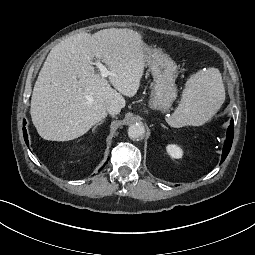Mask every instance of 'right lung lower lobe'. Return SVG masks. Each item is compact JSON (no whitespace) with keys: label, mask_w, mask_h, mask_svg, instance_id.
Wrapping results in <instances>:
<instances>
[{"label":"right lung lower lobe","mask_w":255,"mask_h":255,"mask_svg":"<svg viewBox=\"0 0 255 255\" xmlns=\"http://www.w3.org/2000/svg\"><path fill=\"white\" fill-rule=\"evenodd\" d=\"M23 124L25 125L26 124V122H25V120L23 121ZM23 134H24V139H25V142H26V144L28 145L29 143H28V136H27V131H26V129H25V127H23ZM107 163V162H106ZM103 168V167H102ZM101 168V169H102ZM100 169V170H101Z\"/></svg>","instance_id":"right-lung-lower-lobe-1"}]
</instances>
